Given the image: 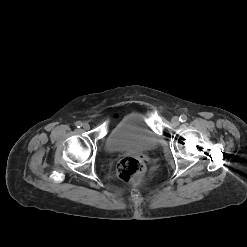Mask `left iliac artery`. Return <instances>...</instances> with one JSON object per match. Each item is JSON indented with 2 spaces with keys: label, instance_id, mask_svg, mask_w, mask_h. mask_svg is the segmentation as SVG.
I'll list each match as a JSON object with an SVG mask.
<instances>
[{
  "label": "left iliac artery",
  "instance_id": "44dca946",
  "mask_svg": "<svg viewBox=\"0 0 247 247\" xmlns=\"http://www.w3.org/2000/svg\"><path fill=\"white\" fill-rule=\"evenodd\" d=\"M181 122H185L187 120V116L185 114H182L179 118Z\"/></svg>",
  "mask_w": 247,
  "mask_h": 247
}]
</instances>
